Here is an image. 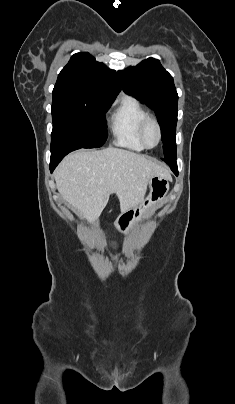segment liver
<instances>
[{"label":"liver","instance_id":"6515ba94","mask_svg":"<svg viewBox=\"0 0 235 404\" xmlns=\"http://www.w3.org/2000/svg\"><path fill=\"white\" fill-rule=\"evenodd\" d=\"M155 176L171 179L169 171L158 163L112 147L71 153L54 172L59 193L87 220L100 216L112 193L119 199L121 213L137 207Z\"/></svg>","mask_w":235,"mask_h":404}]
</instances>
